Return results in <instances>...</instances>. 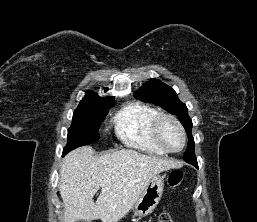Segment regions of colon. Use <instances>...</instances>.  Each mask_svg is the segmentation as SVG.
<instances>
[{
  "mask_svg": "<svg viewBox=\"0 0 257 222\" xmlns=\"http://www.w3.org/2000/svg\"><path fill=\"white\" fill-rule=\"evenodd\" d=\"M183 172L181 170H173L170 172L167 178V185L171 191H174L180 187L183 182ZM155 222H174L172 215L169 212L161 213Z\"/></svg>",
  "mask_w": 257,
  "mask_h": 222,
  "instance_id": "colon-1",
  "label": "colon"
}]
</instances>
